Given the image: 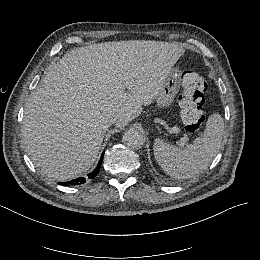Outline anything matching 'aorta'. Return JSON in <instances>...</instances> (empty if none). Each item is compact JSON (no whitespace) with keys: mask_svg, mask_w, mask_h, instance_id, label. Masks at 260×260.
Masks as SVG:
<instances>
[{"mask_svg":"<svg viewBox=\"0 0 260 260\" xmlns=\"http://www.w3.org/2000/svg\"><path fill=\"white\" fill-rule=\"evenodd\" d=\"M122 142L129 148L137 150L144 145L145 137L140 131L129 129L123 134Z\"/></svg>","mask_w":260,"mask_h":260,"instance_id":"obj_1","label":"aorta"}]
</instances>
